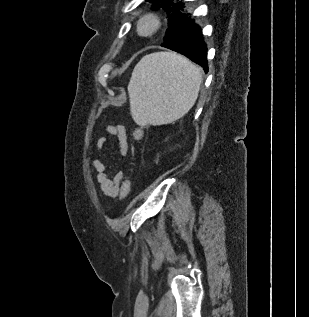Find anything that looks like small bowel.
Segmentation results:
<instances>
[{
    "label": "small bowel",
    "mask_w": 309,
    "mask_h": 317,
    "mask_svg": "<svg viewBox=\"0 0 309 317\" xmlns=\"http://www.w3.org/2000/svg\"><path fill=\"white\" fill-rule=\"evenodd\" d=\"M106 131L116 137L120 156H126L129 144L125 128L122 125H108ZM106 143L107 138H100L98 148L104 151ZM92 168L97 172L96 184L101 194L111 199H117L121 196V186L124 180V173L122 171L111 173L110 166L98 159L92 161Z\"/></svg>",
    "instance_id": "c3829d8e"
}]
</instances>
